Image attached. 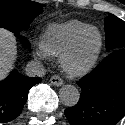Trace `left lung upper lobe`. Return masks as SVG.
<instances>
[{
	"instance_id": "left-lung-upper-lobe-1",
	"label": "left lung upper lobe",
	"mask_w": 125,
	"mask_h": 125,
	"mask_svg": "<svg viewBox=\"0 0 125 125\" xmlns=\"http://www.w3.org/2000/svg\"><path fill=\"white\" fill-rule=\"evenodd\" d=\"M104 25L107 52L125 48V22L109 13L104 19Z\"/></svg>"
}]
</instances>
